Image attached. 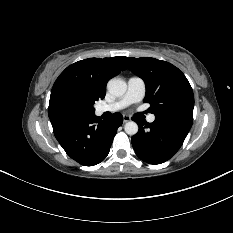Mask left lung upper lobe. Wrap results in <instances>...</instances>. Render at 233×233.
I'll return each instance as SVG.
<instances>
[{
    "mask_svg": "<svg viewBox=\"0 0 233 233\" xmlns=\"http://www.w3.org/2000/svg\"><path fill=\"white\" fill-rule=\"evenodd\" d=\"M129 70L146 85L144 102L158 118L192 126L194 95L185 75L169 62L155 58L122 57Z\"/></svg>",
    "mask_w": 233,
    "mask_h": 233,
    "instance_id": "obj_1",
    "label": "left lung upper lobe"
}]
</instances>
